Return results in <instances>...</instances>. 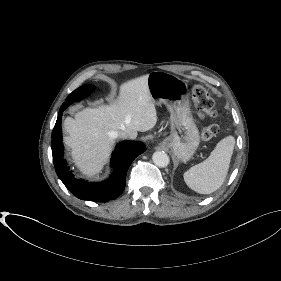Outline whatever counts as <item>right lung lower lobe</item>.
<instances>
[{"mask_svg":"<svg viewBox=\"0 0 281 281\" xmlns=\"http://www.w3.org/2000/svg\"><path fill=\"white\" fill-rule=\"evenodd\" d=\"M59 111L52 133V155L56 173L66 188L77 198L95 202H105L116 199L125 188L126 173L132 161L145 151V145L137 141H123L117 145L112 154L111 165L114 172L105 182L88 183L76 179L63 159L61 118L63 111Z\"/></svg>","mask_w":281,"mask_h":281,"instance_id":"obj_1","label":"right lung lower lobe"}]
</instances>
